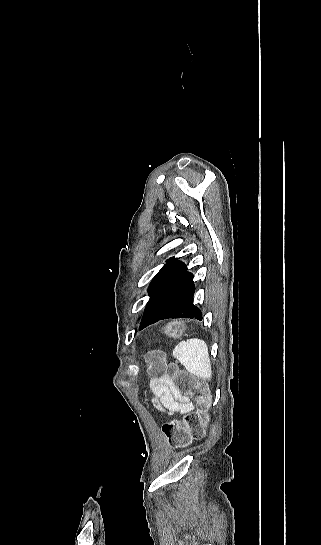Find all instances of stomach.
I'll list each match as a JSON object with an SVG mask.
<instances>
[{
	"label": "stomach",
	"mask_w": 321,
	"mask_h": 545,
	"mask_svg": "<svg viewBox=\"0 0 321 545\" xmlns=\"http://www.w3.org/2000/svg\"><path fill=\"white\" fill-rule=\"evenodd\" d=\"M162 331L169 339H181L183 333L186 331V327L184 323H167Z\"/></svg>",
	"instance_id": "stomach-1"
}]
</instances>
